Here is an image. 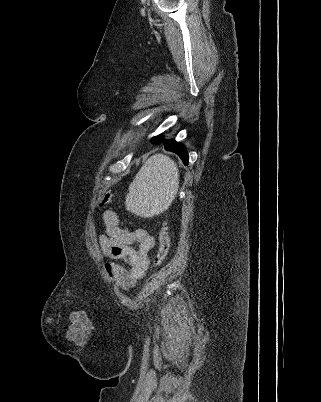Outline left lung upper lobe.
<instances>
[{
	"mask_svg": "<svg viewBox=\"0 0 321 402\" xmlns=\"http://www.w3.org/2000/svg\"><path fill=\"white\" fill-rule=\"evenodd\" d=\"M157 137V136H156ZM156 137H153L152 140L154 141L156 139Z\"/></svg>",
	"mask_w": 321,
	"mask_h": 402,
	"instance_id": "1",
	"label": "left lung upper lobe"
}]
</instances>
